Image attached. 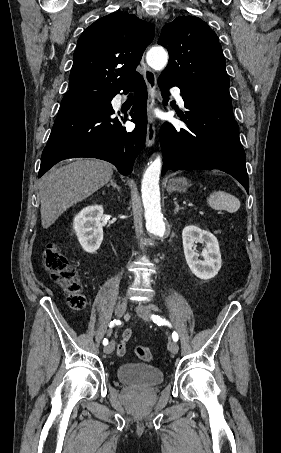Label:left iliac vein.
<instances>
[{
	"instance_id": "4c4485c4",
	"label": "left iliac vein",
	"mask_w": 281,
	"mask_h": 453,
	"mask_svg": "<svg viewBox=\"0 0 281 453\" xmlns=\"http://www.w3.org/2000/svg\"><path fill=\"white\" fill-rule=\"evenodd\" d=\"M136 311H140L137 316H142L143 318H145L144 320H150L151 319V316H152V313L149 312L150 310H152L151 308L149 307H142L141 304H139V306H136L134 307ZM154 314V313H153ZM168 350L171 351V353H178V350H179V345L175 342V341H172L169 345H168Z\"/></svg>"
}]
</instances>
